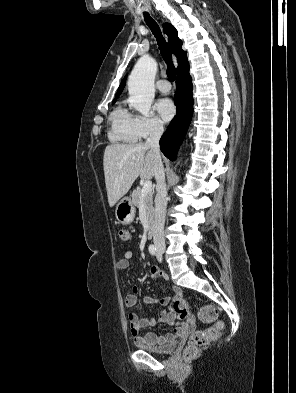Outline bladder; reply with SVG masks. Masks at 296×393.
<instances>
[{"label":"bladder","mask_w":296,"mask_h":393,"mask_svg":"<svg viewBox=\"0 0 296 393\" xmlns=\"http://www.w3.org/2000/svg\"><path fill=\"white\" fill-rule=\"evenodd\" d=\"M177 346L176 341H171L168 344L160 347V348H155L149 345H140V349L149 353L153 354H159V355H165L173 352Z\"/></svg>","instance_id":"bladder-1"}]
</instances>
